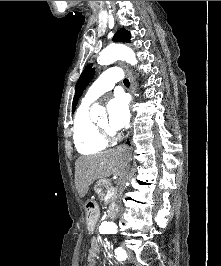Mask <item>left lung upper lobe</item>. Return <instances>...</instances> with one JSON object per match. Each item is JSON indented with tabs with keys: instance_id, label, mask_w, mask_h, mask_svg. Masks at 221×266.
<instances>
[{
	"instance_id": "5c2ea615",
	"label": "left lung upper lobe",
	"mask_w": 221,
	"mask_h": 266,
	"mask_svg": "<svg viewBox=\"0 0 221 266\" xmlns=\"http://www.w3.org/2000/svg\"><path fill=\"white\" fill-rule=\"evenodd\" d=\"M113 41H123V42H130V33L126 31L124 28L120 29L116 32V34L113 37ZM94 68H92V64L88 65L85 70L82 72L79 80L77 81L76 87H75V96L73 99V106H72V112L75 111V107L78 103V100L80 96L82 95V92L87 87L89 82L94 76Z\"/></svg>"
}]
</instances>
